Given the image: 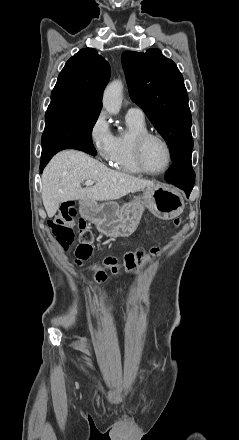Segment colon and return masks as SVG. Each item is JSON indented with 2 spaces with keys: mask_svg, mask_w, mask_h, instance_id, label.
I'll return each mask as SVG.
<instances>
[{
  "mask_svg": "<svg viewBox=\"0 0 239 440\" xmlns=\"http://www.w3.org/2000/svg\"><path fill=\"white\" fill-rule=\"evenodd\" d=\"M77 217V211L73 202L64 204L61 208V212L54 218L48 221V226L57 240L58 244L66 249L71 245L76 238V234L73 228V222ZM180 220H175V225H179ZM78 245L75 250V262L81 264L88 260L93 253V246L95 237L93 233L87 228L83 219L78 221ZM158 249L152 248L150 252L135 251L125 255L122 262L118 261L115 257H107L102 263L94 265L92 267L93 278L96 283H103L107 280L110 274L115 275L121 270L127 272H136L142 268L150 259L158 255Z\"/></svg>",
  "mask_w": 239,
  "mask_h": 440,
  "instance_id": "colon-1",
  "label": "colon"
}]
</instances>
